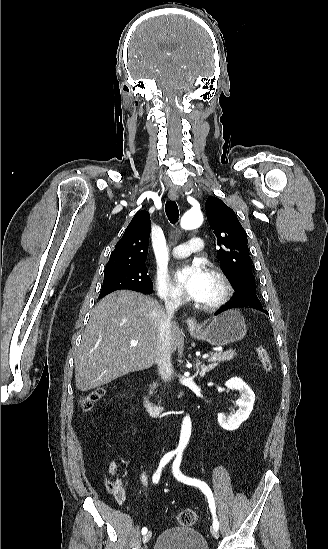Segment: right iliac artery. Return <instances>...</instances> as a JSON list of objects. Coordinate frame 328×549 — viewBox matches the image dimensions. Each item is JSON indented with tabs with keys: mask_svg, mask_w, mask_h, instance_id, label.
<instances>
[{
	"mask_svg": "<svg viewBox=\"0 0 328 549\" xmlns=\"http://www.w3.org/2000/svg\"><path fill=\"white\" fill-rule=\"evenodd\" d=\"M175 453H167L164 455V457L162 458L161 462H160V465H159V468L158 470L156 471V473L153 475V483H158L159 482V479H160V472H161V469L162 467H164L169 461L170 459H172V457L174 456ZM147 533V528L144 527L142 529V534H146Z\"/></svg>",
	"mask_w": 328,
	"mask_h": 549,
	"instance_id": "obj_1",
	"label": "right iliac artery"
}]
</instances>
